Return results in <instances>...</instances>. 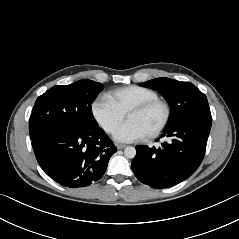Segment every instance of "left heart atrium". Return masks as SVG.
Instances as JSON below:
<instances>
[{"instance_id":"left-heart-atrium-1","label":"left heart atrium","mask_w":239,"mask_h":239,"mask_svg":"<svg viewBox=\"0 0 239 239\" xmlns=\"http://www.w3.org/2000/svg\"><path fill=\"white\" fill-rule=\"evenodd\" d=\"M113 136L115 140L120 142H134L146 137L138 125L129 121L119 126Z\"/></svg>"}]
</instances>
